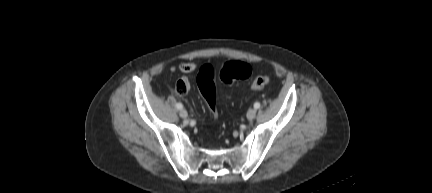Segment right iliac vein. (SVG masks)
Wrapping results in <instances>:
<instances>
[{
    "instance_id": "obj_1",
    "label": "right iliac vein",
    "mask_w": 432,
    "mask_h": 193,
    "mask_svg": "<svg viewBox=\"0 0 432 193\" xmlns=\"http://www.w3.org/2000/svg\"><path fill=\"white\" fill-rule=\"evenodd\" d=\"M181 118L186 119L188 117V113L185 109H181L179 112Z\"/></svg>"
}]
</instances>
